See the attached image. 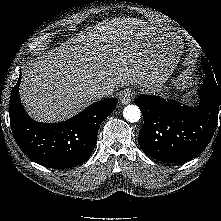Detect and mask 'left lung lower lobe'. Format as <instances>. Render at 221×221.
Segmentation results:
<instances>
[{"label":"left lung lower lobe","instance_id":"left-lung-lower-lobe-1","mask_svg":"<svg viewBox=\"0 0 221 221\" xmlns=\"http://www.w3.org/2000/svg\"><path fill=\"white\" fill-rule=\"evenodd\" d=\"M198 93L200 103L195 107L153 95L134 100L144 118L139 135L144 153L161 162L182 164L203 152L219 119L221 123V84L216 83L213 73L206 74Z\"/></svg>","mask_w":221,"mask_h":221}]
</instances>
